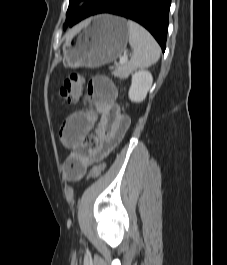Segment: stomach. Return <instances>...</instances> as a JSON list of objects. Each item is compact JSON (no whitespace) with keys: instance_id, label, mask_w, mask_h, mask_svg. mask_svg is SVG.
Wrapping results in <instances>:
<instances>
[{"instance_id":"1","label":"stomach","mask_w":227,"mask_h":265,"mask_svg":"<svg viewBox=\"0 0 227 265\" xmlns=\"http://www.w3.org/2000/svg\"><path fill=\"white\" fill-rule=\"evenodd\" d=\"M128 39L125 19L109 14L98 15L73 42L64 44V62L70 68L100 67L120 57Z\"/></svg>"}]
</instances>
